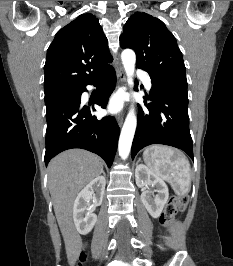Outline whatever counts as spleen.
<instances>
[{
  "label": "spleen",
  "mask_w": 233,
  "mask_h": 266,
  "mask_svg": "<svg viewBox=\"0 0 233 266\" xmlns=\"http://www.w3.org/2000/svg\"><path fill=\"white\" fill-rule=\"evenodd\" d=\"M145 163L158 177L166 180L177 195H186L191 188V169L188 159L179 151L152 145L143 153Z\"/></svg>",
  "instance_id": "spleen-1"
}]
</instances>
